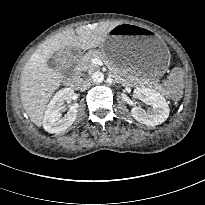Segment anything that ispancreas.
I'll return each instance as SVG.
<instances>
[{
	"instance_id": "1",
	"label": "pancreas",
	"mask_w": 205,
	"mask_h": 205,
	"mask_svg": "<svg viewBox=\"0 0 205 205\" xmlns=\"http://www.w3.org/2000/svg\"><path fill=\"white\" fill-rule=\"evenodd\" d=\"M97 58L101 59L104 64L109 69L110 73L112 74L113 78L117 81L122 83L123 85H129V86H135L138 81H135V79L121 71L112 61H110L104 54L97 50L89 51L86 55H84L79 64L82 66L84 70H88L90 72H93L97 70L99 67L92 63V59ZM140 83V82H138ZM144 84V83H140ZM154 87L158 88L157 85Z\"/></svg>"
}]
</instances>
